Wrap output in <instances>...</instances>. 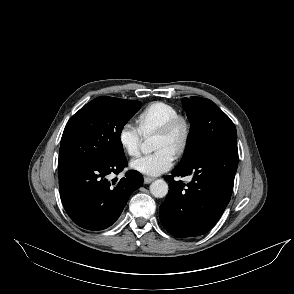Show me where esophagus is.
I'll use <instances>...</instances> for the list:
<instances>
[{"label":"esophagus","mask_w":294,"mask_h":294,"mask_svg":"<svg viewBox=\"0 0 294 294\" xmlns=\"http://www.w3.org/2000/svg\"><path fill=\"white\" fill-rule=\"evenodd\" d=\"M154 180H155V178H153V177H148V176H145L144 177V183L145 184H149V183H151Z\"/></svg>","instance_id":"obj_1"}]
</instances>
